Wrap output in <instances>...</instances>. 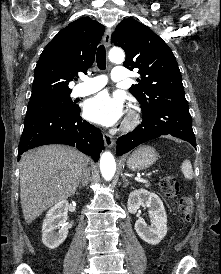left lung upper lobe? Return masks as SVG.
Masks as SVG:
<instances>
[{
  "label": "left lung upper lobe",
  "instance_id": "left-lung-upper-lobe-1",
  "mask_svg": "<svg viewBox=\"0 0 221 274\" xmlns=\"http://www.w3.org/2000/svg\"><path fill=\"white\" fill-rule=\"evenodd\" d=\"M111 42L124 49L123 65L130 70L138 69V84L129 90L142 110L185 99L182 76L173 52L148 26L134 19H124L112 34Z\"/></svg>",
  "mask_w": 221,
  "mask_h": 274
}]
</instances>
